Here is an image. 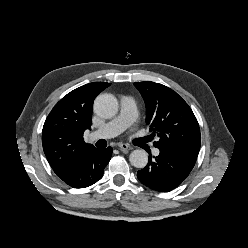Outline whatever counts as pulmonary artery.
<instances>
[{
  "label": "pulmonary artery",
  "mask_w": 248,
  "mask_h": 248,
  "mask_svg": "<svg viewBox=\"0 0 248 248\" xmlns=\"http://www.w3.org/2000/svg\"><path fill=\"white\" fill-rule=\"evenodd\" d=\"M137 114V104L133 97L123 96L121 98V110L117 117L105 123L90 134L92 140L109 139L115 137L127 129L135 120ZM155 155L159 150L153 151Z\"/></svg>",
  "instance_id": "1"
}]
</instances>
